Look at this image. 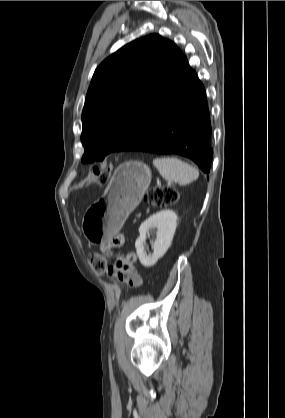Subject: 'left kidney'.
I'll return each instance as SVG.
<instances>
[{
	"mask_svg": "<svg viewBox=\"0 0 285 418\" xmlns=\"http://www.w3.org/2000/svg\"><path fill=\"white\" fill-rule=\"evenodd\" d=\"M177 215L174 211L165 209L146 219L139 227V237L135 242V248L141 264L145 267L154 265L170 247L176 226ZM157 229L156 240L152 246L153 253L147 255L144 244L150 229Z\"/></svg>",
	"mask_w": 285,
	"mask_h": 418,
	"instance_id": "left-kidney-1",
	"label": "left kidney"
}]
</instances>
